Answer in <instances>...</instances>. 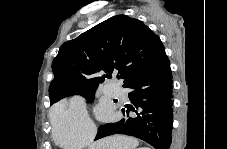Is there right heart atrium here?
<instances>
[{
    "instance_id": "d8ad5b80",
    "label": "right heart atrium",
    "mask_w": 227,
    "mask_h": 149,
    "mask_svg": "<svg viewBox=\"0 0 227 149\" xmlns=\"http://www.w3.org/2000/svg\"><path fill=\"white\" fill-rule=\"evenodd\" d=\"M50 119L53 138L61 147L87 146L95 137L96 126L79 99L60 101L52 109Z\"/></svg>"
}]
</instances>
